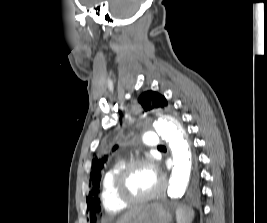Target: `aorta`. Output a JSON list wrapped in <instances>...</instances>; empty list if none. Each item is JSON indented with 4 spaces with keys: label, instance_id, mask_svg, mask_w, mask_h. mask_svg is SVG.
<instances>
[{
    "label": "aorta",
    "instance_id": "aorta-1",
    "mask_svg": "<svg viewBox=\"0 0 267 223\" xmlns=\"http://www.w3.org/2000/svg\"><path fill=\"white\" fill-rule=\"evenodd\" d=\"M157 133L168 143L173 154V169L167 187L170 199L181 198L187 188L192 155L181 123L169 115L158 116L153 123Z\"/></svg>",
    "mask_w": 267,
    "mask_h": 223
}]
</instances>
